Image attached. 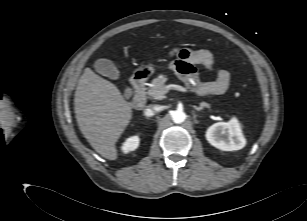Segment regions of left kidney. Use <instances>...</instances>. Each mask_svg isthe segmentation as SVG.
Masks as SVG:
<instances>
[{
  "label": "left kidney",
  "instance_id": "left-kidney-1",
  "mask_svg": "<svg viewBox=\"0 0 307 221\" xmlns=\"http://www.w3.org/2000/svg\"><path fill=\"white\" fill-rule=\"evenodd\" d=\"M205 136L212 146L223 151L240 150L246 145L241 124L235 117L229 122H218L211 125Z\"/></svg>",
  "mask_w": 307,
  "mask_h": 221
}]
</instances>
